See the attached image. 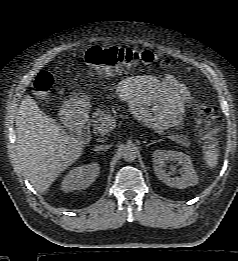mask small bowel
Returning a JSON list of instances; mask_svg holds the SVG:
<instances>
[{
  "label": "small bowel",
  "mask_w": 238,
  "mask_h": 261,
  "mask_svg": "<svg viewBox=\"0 0 238 261\" xmlns=\"http://www.w3.org/2000/svg\"><path fill=\"white\" fill-rule=\"evenodd\" d=\"M142 122L156 130L181 125L192 97L172 76H129L111 87Z\"/></svg>",
  "instance_id": "small-bowel-1"
}]
</instances>
